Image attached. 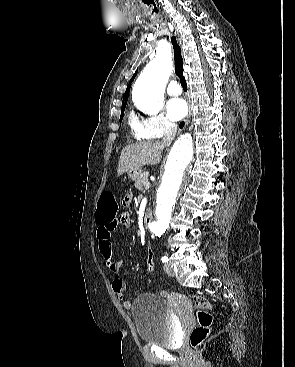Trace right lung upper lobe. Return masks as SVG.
I'll use <instances>...</instances> for the list:
<instances>
[{
  "label": "right lung upper lobe",
  "mask_w": 295,
  "mask_h": 367,
  "mask_svg": "<svg viewBox=\"0 0 295 367\" xmlns=\"http://www.w3.org/2000/svg\"><path fill=\"white\" fill-rule=\"evenodd\" d=\"M135 76H136V73L133 75V77L131 78V80L129 82V85L126 88V91H125V94H124V97H123V101H122V105L127 104V100H128V96H129V92H130V83L134 80Z\"/></svg>",
  "instance_id": "right-lung-upper-lobe-1"
}]
</instances>
